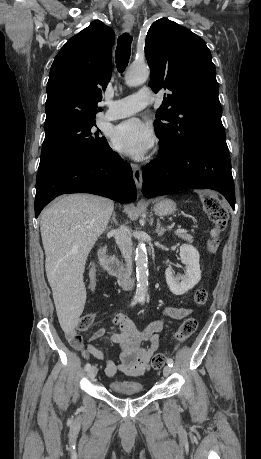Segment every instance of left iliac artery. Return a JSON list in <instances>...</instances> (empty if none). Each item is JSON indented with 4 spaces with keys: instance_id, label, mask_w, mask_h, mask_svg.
Instances as JSON below:
<instances>
[{
    "instance_id": "44dca946",
    "label": "left iliac artery",
    "mask_w": 261,
    "mask_h": 459,
    "mask_svg": "<svg viewBox=\"0 0 261 459\" xmlns=\"http://www.w3.org/2000/svg\"><path fill=\"white\" fill-rule=\"evenodd\" d=\"M167 364H168V366L173 367V364H174L173 359L168 358L167 359Z\"/></svg>"
}]
</instances>
